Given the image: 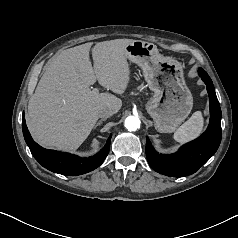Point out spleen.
Listing matches in <instances>:
<instances>
[{
  "label": "spleen",
  "instance_id": "3e777b00",
  "mask_svg": "<svg viewBox=\"0 0 238 238\" xmlns=\"http://www.w3.org/2000/svg\"><path fill=\"white\" fill-rule=\"evenodd\" d=\"M203 126L204 120L202 113L196 111L175 131L174 140L179 143H186L199 136L203 130Z\"/></svg>",
  "mask_w": 238,
  "mask_h": 238
}]
</instances>
